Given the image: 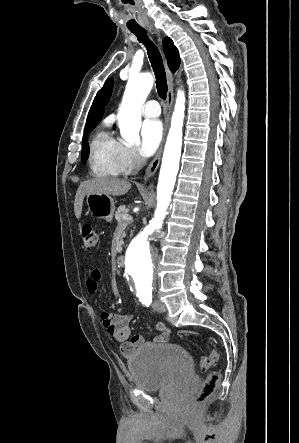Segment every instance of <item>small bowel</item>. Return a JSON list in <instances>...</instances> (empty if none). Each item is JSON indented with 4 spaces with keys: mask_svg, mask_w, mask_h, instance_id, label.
<instances>
[{
    "mask_svg": "<svg viewBox=\"0 0 299 443\" xmlns=\"http://www.w3.org/2000/svg\"><path fill=\"white\" fill-rule=\"evenodd\" d=\"M100 280L101 271L97 268L92 269L86 280L88 293L95 294L98 291ZM132 316V314L122 312L111 313L103 311L100 313L102 326L108 336L116 342L124 343L122 346V352L124 354H130L136 348L145 344L142 335H132V330L129 325ZM156 329L160 334L154 337L153 343L162 344L168 342L170 339V330L163 323H157Z\"/></svg>",
    "mask_w": 299,
    "mask_h": 443,
    "instance_id": "small-bowel-1",
    "label": "small bowel"
}]
</instances>
